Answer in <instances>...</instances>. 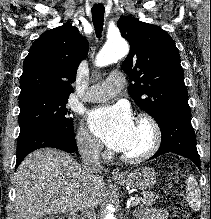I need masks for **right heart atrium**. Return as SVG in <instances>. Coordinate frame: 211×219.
I'll list each match as a JSON object with an SVG mask.
<instances>
[{
    "label": "right heart atrium",
    "mask_w": 211,
    "mask_h": 219,
    "mask_svg": "<svg viewBox=\"0 0 211 219\" xmlns=\"http://www.w3.org/2000/svg\"><path fill=\"white\" fill-rule=\"evenodd\" d=\"M75 140L79 150L84 155L90 157L102 156V144L85 127L79 126L76 132Z\"/></svg>",
    "instance_id": "d8ad5b80"
}]
</instances>
